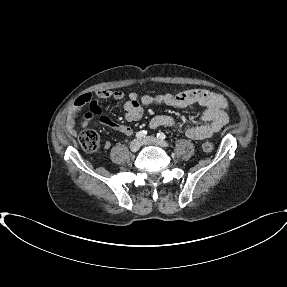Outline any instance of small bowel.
I'll use <instances>...</instances> for the list:
<instances>
[{
    "instance_id": "obj_1",
    "label": "small bowel",
    "mask_w": 287,
    "mask_h": 287,
    "mask_svg": "<svg viewBox=\"0 0 287 287\" xmlns=\"http://www.w3.org/2000/svg\"><path fill=\"white\" fill-rule=\"evenodd\" d=\"M98 99H114L123 101L125 119L127 121H137L142 117L143 105L164 104L176 108H185L193 104H199L205 107L198 126L185 127L182 131L190 139L203 140L219 132L228 122L226 108L228 106L226 99L219 94L204 90H187L177 94H159L156 96L142 95L131 91L125 94L122 91L100 90L96 93H86L79 96L68 115L66 129L68 133H76V125L79 122L81 127H86L95 117L99 122L123 135H131L133 130L129 126L120 125L103 114L102 107ZM85 105H89V112L79 121V115ZM161 126L179 128L178 124L169 116L157 115L150 121V127L156 129ZM107 142L105 148H109Z\"/></svg>"
}]
</instances>
